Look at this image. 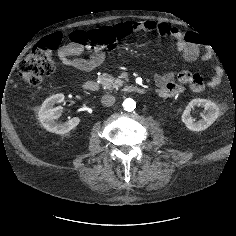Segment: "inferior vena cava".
Segmentation results:
<instances>
[{
	"mask_svg": "<svg viewBox=\"0 0 236 236\" xmlns=\"http://www.w3.org/2000/svg\"><path fill=\"white\" fill-rule=\"evenodd\" d=\"M102 105L110 107L115 103V97L113 95L107 94L101 98Z\"/></svg>",
	"mask_w": 236,
	"mask_h": 236,
	"instance_id": "inferior-vena-cava-1",
	"label": "inferior vena cava"
}]
</instances>
